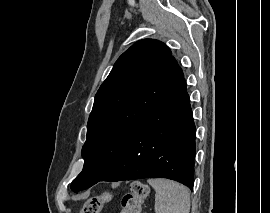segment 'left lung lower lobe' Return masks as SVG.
Wrapping results in <instances>:
<instances>
[{
	"label": "left lung lower lobe",
	"mask_w": 270,
	"mask_h": 213,
	"mask_svg": "<svg viewBox=\"0 0 270 213\" xmlns=\"http://www.w3.org/2000/svg\"><path fill=\"white\" fill-rule=\"evenodd\" d=\"M195 132L183 76L138 126L100 181L161 177L192 189Z\"/></svg>",
	"instance_id": "0a47b994"
}]
</instances>
